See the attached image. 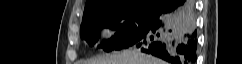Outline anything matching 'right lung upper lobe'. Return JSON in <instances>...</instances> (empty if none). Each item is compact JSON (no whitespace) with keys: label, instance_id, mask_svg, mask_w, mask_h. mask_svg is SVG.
Instances as JSON below:
<instances>
[{"label":"right lung upper lobe","instance_id":"right-lung-upper-lobe-1","mask_svg":"<svg viewBox=\"0 0 242 64\" xmlns=\"http://www.w3.org/2000/svg\"><path fill=\"white\" fill-rule=\"evenodd\" d=\"M162 0H87L83 20L95 15L145 7L158 10Z\"/></svg>","mask_w":242,"mask_h":64}]
</instances>
